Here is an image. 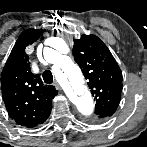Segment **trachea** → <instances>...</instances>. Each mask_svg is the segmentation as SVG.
<instances>
[{
	"mask_svg": "<svg viewBox=\"0 0 147 147\" xmlns=\"http://www.w3.org/2000/svg\"><path fill=\"white\" fill-rule=\"evenodd\" d=\"M43 80L46 84L53 83V75L49 70L43 72Z\"/></svg>",
	"mask_w": 147,
	"mask_h": 147,
	"instance_id": "trachea-1",
	"label": "trachea"
}]
</instances>
